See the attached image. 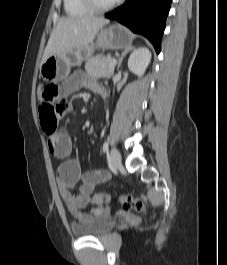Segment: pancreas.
I'll return each instance as SVG.
<instances>
[{"label":"pancreas","instance_id":"pancreas-1","mask_svg":"<svg viewBox=\"0 0 227 265\" xmlns=\"http://www.w3.org/2000/svg\"><path fill=\"white\" fill-rule=\"evenodd\" d=\"M112 59L102 55L92 57L85 63L86 72L93 77L110 78L114 73V65L111 64Z\"/></svg>","mask_w":227,"mask_h":265}]
</instances>
